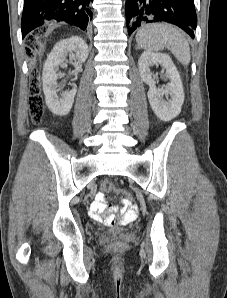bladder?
<instances>
[{
    "label": "bladder",
    "mask_w": 227,
    "mask_h": 298,
    "mask_svg": "<svg viewBox=\"0 0 227 298\" xmlns=\"http://www.w3.org/2000/svg\"><path fill=\"white\" fill-rule=\"evenodd\" d=\"M119 232H120V229H118V228H112L109 230V233H111V234H117Z\"/></svg>",
    "instance_id": "1"
}]
</instances>
